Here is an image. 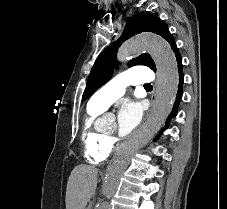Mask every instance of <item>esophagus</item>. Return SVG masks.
<instances>
[{
    "label": "esophagus",
    "instance_id": "esophagus-1",
    "mask_svg": "<svg viewBox=\"0 0 227 209\" xmlns=\"http://www.w3.org/2000/svg\"><path fill=\"white\" fill-rule=\"evenodd\" d=\"M157 97H158V83L156 81V83L154 84L153 92L151 96V105H149V108H147L148 116H151L152 113H154V110H156V107H158V102H156Z\"/></svg>",
    "mask_w": 227,
    "mask_h": 209
}]
</instances>
